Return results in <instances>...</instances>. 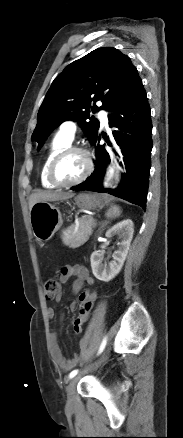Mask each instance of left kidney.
<instances>
[{
    "instance_id": "obj_1",
    "label": "left kidney",
    "mask_w": 183,
    "mask_h": 438,
    "mask_svg": "<svg viewBox=\"0 0 183 438\" xmlns=\"http://www.w3.org/2000/svg\"><path fill=\"white\" fill-rule=\"evenodd\" d=\"M133 233L134 224L130 219L123 220L107 230L105 234L107 238L118 234L121 238V242L119 243L118 250L114 253L113 261L108 264L102 263V254L100 251L92 253L90 258L92 273L98 280L109 282L121 271L128 254Z\"/></svg>"
}]
</instances>
